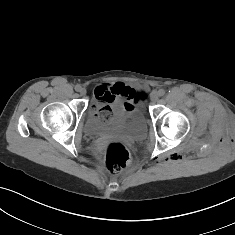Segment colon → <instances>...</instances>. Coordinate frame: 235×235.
<instances>
[{"instance_id": "colon-1", "label": "colon", "mask_w": 235, "mask_h": 235, "mask_svg": "<svg viewBox=\"0 0 235 235\" xmlns=\"http://www.w3.org/2000/svg\"><path fill=\"white\" fill-rule=\"evenodd\" d=\"M143 91L135 92L134 95L131 97L132 105L127 106L126 108H131L134 106L136 101L142 97ZM112 114L111 109L105 107L99 110L98 115L104 119L110 118ZM105 163L108 170L112 174H119L124 169H126L130 163V155L125 147V145L116 140H111L106 144L105 147Z\"/></svg>"}]
</instances>
